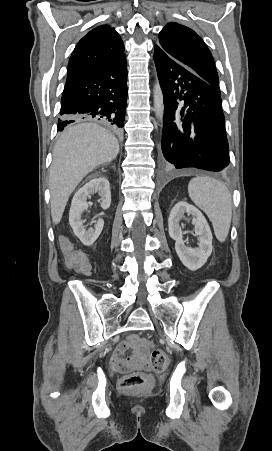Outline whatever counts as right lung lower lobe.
<instances>
[{"label": "right lung lower lobe", "mask_w": 272, "mask_h": 451, "mask_svg": "<svg viewBox=\"0 0 272 451\" xmlns=\"http://www.w3.org/2000/svg\"><path fill=\"white\" fill-rule=\"evenodd\" d=\"M125 54L98 67L69 75L61 99L58 130L79 120H97L120 132L127 102Z\"/></svg>", "instance_id": "obj_1"}]
</instances>
